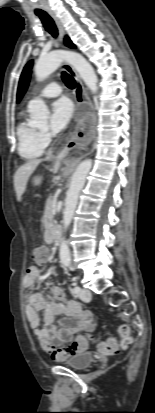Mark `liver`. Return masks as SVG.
<instances>
[{
  "label": "liver",
  "instance_id": "1",
  "mask_svg": "<svg viewBox=\"0 0 155 413\" xmlns=\"http://www.w3.org/2000/svg\"><path fill=\"white\" fill-rule=\"evenodd\" d=\"M41 162L42 159L29 160L17 169L14 175V188L18 201H20L25 192L29 177Z\"/></svg>",
  "mask_w": 155,
  "mask_h": 413
}]
</instances>
